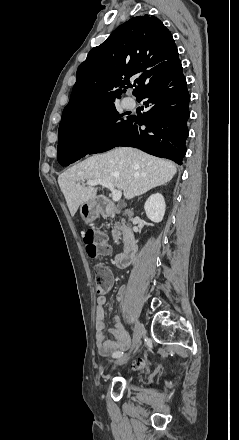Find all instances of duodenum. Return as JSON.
Returning <instances> with one entry per match:
<instances>
[{
    "instance_id": "duodenum-1",
    "label": "duodenum",
    "mask_w": 239,
    "mask_h": 440,
    "mask_svg": "<svg viewBox=\"0 0 239 440\" xmlns=\"http://www.w3.org/2000/svg\"><path fill=\"white\" fill-rule=\"evenodd\" d=\"M97 206L103 215L125 214L130 220L133 219L134 214L131 209L118 205L106 197L98 198ZM122 238L124 243L123 252L118 254L114 259V263L119 268L127 267L133 260L138 249L137 240L130 225L123 228Z\"/></svg>"
}]
</instances>
